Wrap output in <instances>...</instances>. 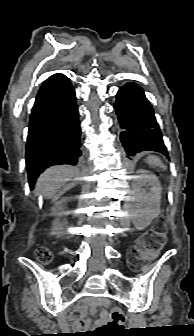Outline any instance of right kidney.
<instances>
[{
	"label": "right kidney",
	"mask_w": 194,
	"mask_h": 336,
	"mask_svg": "<svg viewBox=\"0 0 194 336\" xmlns=\"http://www.w3.org/2000/svg\"><path fill=\"white\" fill-rule=\"evenodd\" d=\"M61 202H55V207H53V211H56V210H62V207L60 206Z\"/></svg>",
	"instance_id": "obj_1"
}]
</instances>
